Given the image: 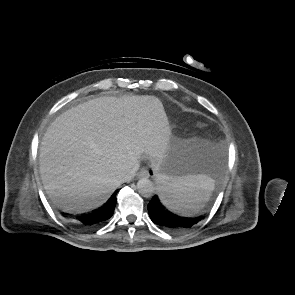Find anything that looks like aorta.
<instances>
[{
    "label": "aorta",
    "mask_w": 295,
    "mask_h": 295,
    "mask_svg": "<svg viewBox=\"0 0 295 295\" xmlns=\"http://www.w3.org/2000/svg\"><path fill=\"white\" fill-rule=\"evenodd\" d=\"M137 190L144 197H151L155 193V186L148 178H141L137 182Z\"/></svg>",
    "instance_id": "aorta-1"
}]
</instances>
